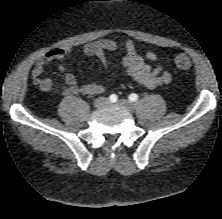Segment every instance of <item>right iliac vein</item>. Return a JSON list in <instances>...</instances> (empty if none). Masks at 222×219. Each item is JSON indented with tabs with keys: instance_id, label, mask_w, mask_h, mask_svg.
I'll use <instances>...</instances> for the list:
<instances>
[{
	"instance_id": "obj_1",
	"label": "right iliac vein",
	"mask_w": 222,
	"mask_h": 219,
	"mask_svg": "<svg viewBox=\"0 0 222 219\" xmlns=\"http://www.w3.org/2000/svg\"><path fill=\"white\" fill-rule=\"evenodd\" d=\"M107 103V99L105 98H99L94 102L95 107H102Z\"/></svg>"
}]
</instances>
